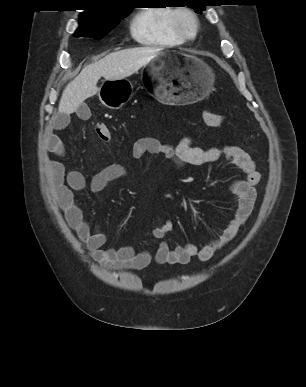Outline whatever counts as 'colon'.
Listing matches in <instances>:
<instances>
[{"instance_id": "colon-1", "label": "colon", "mask_w": 306, "mask_h": 387, "mask_svg": "<svg viewBox=\"0 0 306 387\" xmlns=\"http://www.w3.org/2000/svg\"><path fill=\"white\" fill-rule=\"evenodd\" d=\"M204 120L207 125L212 127H218L221 125L223 121V117L217 113L213 112H205ZM95 131L98 137L104 142H111L113 139L112 131L110 128L104 123H98L95 126Z\"/></svg>"}]
</instances>
